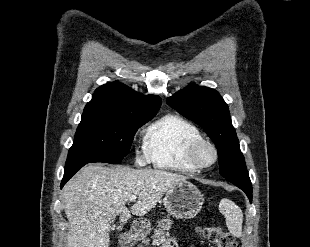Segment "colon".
I'll return each mask as SVG.
<instances>
[{"label":"colon","mask_w":310,"mask_h":247,"mask_svg":"<svg viewBox=\"0 0 310 247\" xmlns=\"http://www.w3.org/2000/svg\"><path fill=\"white\" fill-rule=\"evenodd\" d=\"M203 234L215 247H237L235 238L219 226L207 227Z\"/></svg>","instance_id":"obj_1"}]
</instances>
